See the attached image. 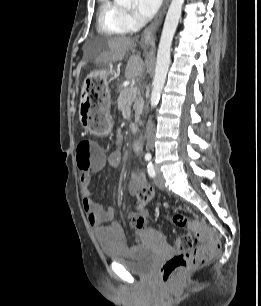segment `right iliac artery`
Returning <instances> with one entry per match:
<instances>
[{
    "mask_svg": "<svg viewBox=\"0 0 261 306\" xmlns=\"http://www.w3.org/2000/svg\"><path fill=\"white\" fill-rule=\"evenodd\" d=\"M145 159H146V161H150L151 160V155H146Z\"/></svg>",
    "mask_w": 261,
    "mask_h": 306,
    "instance_id": "right-iliac-artery-1",
    "label": "right iliac artery"
}]
</instances>
